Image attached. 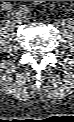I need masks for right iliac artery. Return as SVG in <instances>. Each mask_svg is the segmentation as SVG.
Returning <instances> with one entry per match:
<instances>
[{
  "label": "right iliac artery",
  "mask_w": 74,
  "mask_h": 122,
  "mask_svg": "<svg viewBox=\"0 0 74 122\" xmlns=\"http://www.w3.org/2000/svg\"><path fill=\"white\" fill-rule=\"evenodd\" d=\"M2 9L10 12L12 10V4L9 2H4L2 4Z\"/></svg>",
  "instance_id": "obj_1"
}]
</instances>
